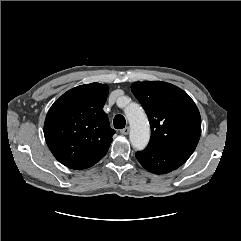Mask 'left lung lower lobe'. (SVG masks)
Here are the masks:
<instances>
[{
    "label": "left lung lower lobe",
    "mask_w": 241,
    "mask_h": 241,
    "mask_svg": "<svg viewBox=\"0 0 241 241\" xmlns=\"http://www.w3.org/2000/svg\"><path fill=\"white\" fill-rule=\"evenodd\" d=\"M192 153L191 150L148 145L145 150L136 153V158L149 172L166 174L184 164Z\"/></svg>",
    "instance_id": "1"
}]
</instances>
